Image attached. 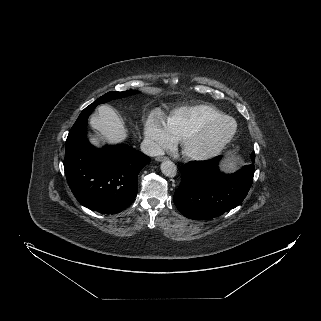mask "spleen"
<instances>
[{
    "label": "spleen",
    "mask_w": 321,
    "mask_h": 321,
    "mask_svg": "<svg viewBox=\"0 0 321 321\" xmlns=\"http://www.w3.org/2000/svg\"><path fill=\"white\" fill-rule=\"evenodd\" d=\"M237 166V162L235 161H226L223 163L222 168L226 171H233Z\"/></svg>",
    "instance_id": "3e777b00"
}]
</instances>
